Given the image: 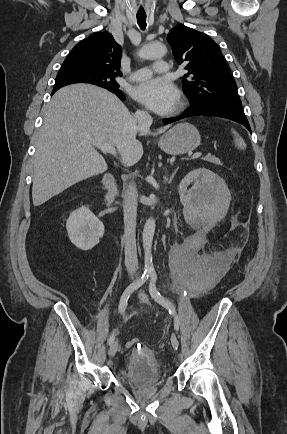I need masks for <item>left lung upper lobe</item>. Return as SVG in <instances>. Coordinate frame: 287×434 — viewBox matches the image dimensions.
<instances>
[{"label": "left lung upper lobe", "instance_id": "5c2ea615", "mask_svg": "<svg viewBox=\"0 0 287 434\" xmlns=\"http://www.w3.org/2000/svg\"><path fill=\"white\" fill-rule=\"evenodd\" d=\"M167 41L176 61L186 64L188 73L182 83L191 106L242 104L222 53L208 35L177 25L168 33Z\"/></svg>", "mask_w": 287, "mask_h": 434}]
</instances>
